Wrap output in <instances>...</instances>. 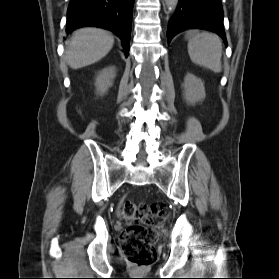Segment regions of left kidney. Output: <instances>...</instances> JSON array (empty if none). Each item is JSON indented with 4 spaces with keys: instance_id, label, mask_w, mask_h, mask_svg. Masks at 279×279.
Returning <instances> with one entry per match:
<instances>
[{
    "instance_id": "5707ae66",
    "label": "left kidney",
    "mask_w": 279,
    "mask_h": 279,
    "mask_svg": "<svg viewBox=\"0 0 279 279\" xmlns=\"http://www.w3.org/2000/svg\"><path fill=\"white\" fill-rule=\"evenodd\" d=\"M205 87L201 79L188 73L184 79V98L188 104L194 105L205 98Z\"/></svg>"
}]
</instances>
